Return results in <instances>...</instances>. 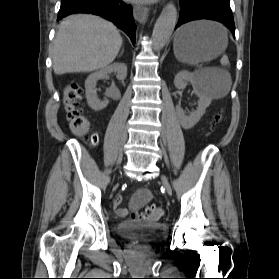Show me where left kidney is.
I'll return each instance as SVG.
<instances>
[{
	"instance_id": "1",
	"label": "left kidney",
	"mask_w": 279,
	"mask_h": 279,
	"mask_svg": "<svg viewBox=\"0 0 279 279\" xmlns=\"http://www.w3.org/2000/svg\"><path fill=\"white\" fill-rule=\"evenodd\" d=\"M204 76L200 73H191L188 71H180L174 79V85L177 89H184L188 82L193 86L196 96L199 98L198 107L192 111L190 115H186L180 106L176 107L177 116L181 126L188 130L194 127L200 118L204 115L206 108L211 104L212 98L203 91Z\"/></svg>"
}]
</instances>
